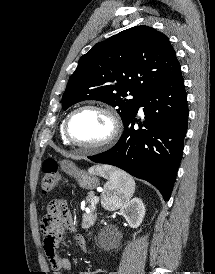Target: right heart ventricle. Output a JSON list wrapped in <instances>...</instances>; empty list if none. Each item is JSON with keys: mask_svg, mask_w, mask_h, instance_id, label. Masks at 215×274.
<instances>
[{"mask_svg": "<svg viewBox=\"0 0 215 274\" xmlns=\"http://www.w3.org/2000/svg\"><path fill=\"white\" fill-rule=\"evenodd\" d=\"M63 125H64V121H63V123L61 125V128H60L61 138H62L64 144H69L68 141L66 140L65 136H64Z\"/></svg>", "mask_w": 215, "mask_h": 274, "instance_id": "1", "label": "right heart ventricle"}]
</instances>
